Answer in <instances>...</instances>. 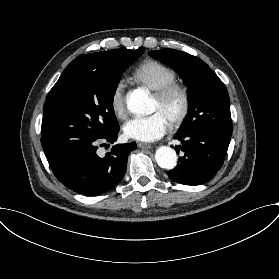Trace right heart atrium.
<instances>
[{"label":"right heart atrium","mask_w":279,"mask_h":279,"mask_svg":"<svg viewBox=\"0 0 279 279\" xmlns=\"http://www.w3.org/2000/svg\"><path fill=\"white\" fill-rule=\"evenodd\" d=\"M125 90V81L119 80L113 87L109 96L110 109L115 117L118 119H123L126 115Z\"/></svg>","instance_id":"right-heart-atrium-1"}]
</instances>
